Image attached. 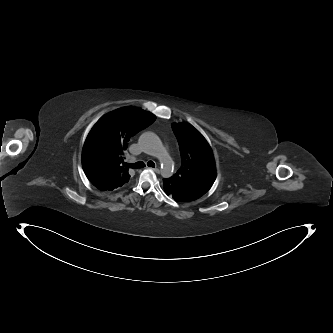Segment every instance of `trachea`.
Returning a JSON list of instances; mask_svg holds the SVG:
<instances>
[{
	"instance_id": "1",
	"label": "trachea",
	"mask_w": 333,
	"mask_h": 333,
	"mask_svg": "<svg viewBox=\"0 0 333 333\" xmlns=\"http://www.w3.org/2000/svg\"><path fill=\"white\" fill-rule=\"evenodd\" d=\"M147 165L149 166V167H155V163L153 162V161H149L148 163H147ZM125 166H128V167H130V168H134V169H138V168H142V167H145V164L143 163V162H136V163H133V164H127V163H125Z\"/></svg>"
}]
</instances>
